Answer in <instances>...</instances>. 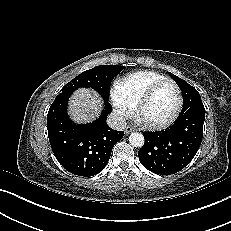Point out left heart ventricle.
Here are the masks:
<instances>
[{"label":"left heart ventricle","mask_w":231,"mask_h":231,"mask_svg":"<svg viewBox=\"0 0 231 231\" xmlns=\"http://www.w3.org/2000/svg\"><path fill=\"white\" fill-rule=\"evenodd\" d=\"M177 101L173 85L160 86L150 97L142 110V118L151 122H162L172 114Z\"/></svg>","instance_id":"obj_1"}]
</instances>
